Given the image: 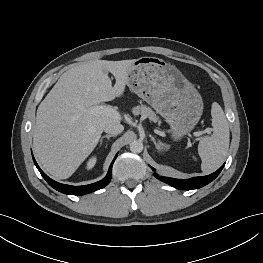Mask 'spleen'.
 I'll return each mask as SVG.
<instances>
[{"label": "spleen", "instance_id": "spleen-1", "mask_svg": "<svg viewBox=\"0 0 263 263\" xmlns=\"http://www.w3.org/2000/svg\"><path fill=\"white\" fill-rule=\"evenodd\" d=\"M213 133L202 138L198 154L202 160L201 170L205 174L216 171L224 162L229 148V125L221 106L214 102L211 108Z\"/></svg>", "mask_w": 263, "mask_h": 263}]
</instances>
